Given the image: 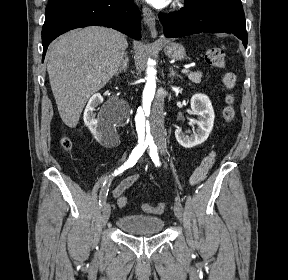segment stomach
I'll use <instances>...</instances> for the list:
<instances>
[{"instance_id":"1","label":"stomach","mask_w":288,"mask_h":280,"mask_svg":"<svg viewBox=\"0 0 288 280\" xmlns=\"http://www.w3.org/2000/svg\"><path fill=\"white\" fill-rule=\"evenodd\" d=\"M164 52L173 60H182L186 57L185 48L179 43H166L164 45Z\"/></svg>"}]
</instances>
